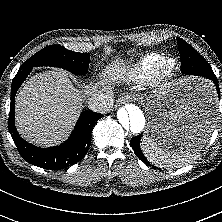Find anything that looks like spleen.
Returning a JSON list of instances; mask_svg holds the SVG:
<instances>
[{
	"label": "spleen",
	"mask_w": 222,
	"mask_h": 222,
	"mask_svg": "<svg viewBox=\"0 0 222 222\" xmlns=\"http://www.w3.org/2000/svg\"><path fill=\"white\" fill-rule=\"evenodd\" d=\"M141 144L143 153L148 161L161 168H173L186 165L195 159L200 152V149H170L159 145L148 137H144Z\"/></svg>",
	"instance_id": "1"
}]
</instances>
